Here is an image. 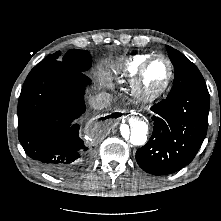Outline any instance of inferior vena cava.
<instances>
[{"label": "inferior vena cava", "instance_id": "obj_1", "mask_svg": "<svg viewBox=\"0 0 221 221\" xmlns=\"http://www.w3.org/2000/svg\"><path fill=\"white\" fill-rule=\"evenodd\" d=\"M111 102L112 96L109 93L102 92L90 101V105L92 108L100 110L109 107Z\"/></svg>", "mask_w": 221, "mask_h": 221}]
</instances>
